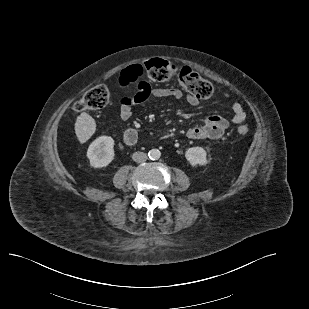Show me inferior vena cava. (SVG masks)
<instances>
[{"mask_svg":"<svg viewBox=\"0 0 309 309\" xmlns=\"http://www.w3.org/2000/svg\"><path fill=\"white\" fill-rule=\"evenodd\" d=\"M132 159L135 161V162H138V163H142V162H145L147 160V154L144 153V152H134L133 155H132Z\"/></svg>","mask_w":309,"mask_h":309,"instance_id":"1","label":"inferior vena cava"}]
</instances>
